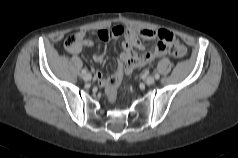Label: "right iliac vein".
I'll list each match as a JSON object with an SVG mask.
<instances>
[{
	"mask_svg": "<svg viewBox=\"0 0 238 158\" xmlns=\"http://www.w3.org/2000/svg\"><path fill=\"white\" fill-rule=\"evenodd\" d=\"M83 79H84L85 81H90V80L92 79V76H91L90 73H85V74L83 75Z\"/></svg>",
	"mask_w": 238,
	"mask_h": 158,
	"instance_id": "right-iliac-vein-1",
	"label": "right iliac vein"
}]
</instances>
